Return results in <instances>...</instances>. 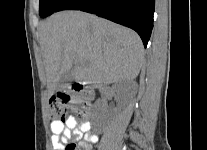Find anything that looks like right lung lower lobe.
Segmentation results:
<instances>
[{
	"label": "right lung lower lobe",
	"instance_id": "right-lung-lower-lobe-1",
	"mask_svg": "<svg viewBox=\"0 0 207 150\" xmlns=\"http://www.w3.org/2000/svg\"><path fill=\"white\" fill-rule=\"evenodd\" d=\"M154 5L155 0H65L57 11L81 10L130 27L146 47L153 28Z\"/></svg>",
	"mask_w": 207,
	"mask_h": 150
}]
</instances>
